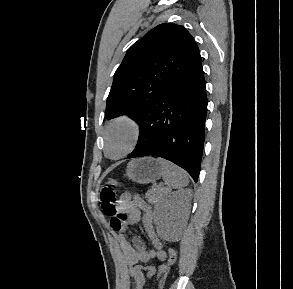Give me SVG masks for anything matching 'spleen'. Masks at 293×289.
<instances>
[{
  "mask_svg": "<svg viewBox=\"0 0 293 289\" xmlns=\"http://www.w3.org/2000/svg\"><path fill=\"white\" fill-rule=\"evenodd\" d=\"M157 161L161 166L162 177L167 186L181 189L188 185V175L183 169L162 158H158Z\"/></svg>",
  "mask_w": 293,
  "mask_h": 289,
  "instance_id": "obj_1",
  "label": "spleen"
}]
</instances>
